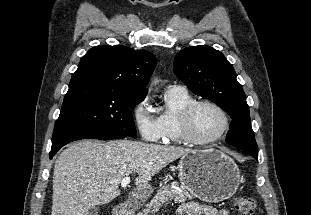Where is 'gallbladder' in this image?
I'll list each match as a JSON object with an SVG mask.
<instances>
[{"label":"gallbladder","instance_id":"gallbladder-1","mask_svg":"<svg viewBox=\"0 0 311 215\" xmlns=\"http://www.w3.org/2000/svg\"><path fill=\"white\" fill-rule=\"evenodd\" d=\"M98 212H99V208L93 207L89 209V211L85 215H98Z\"/></svg>","mask_w":311,"mask_h":215}]
</instances>
